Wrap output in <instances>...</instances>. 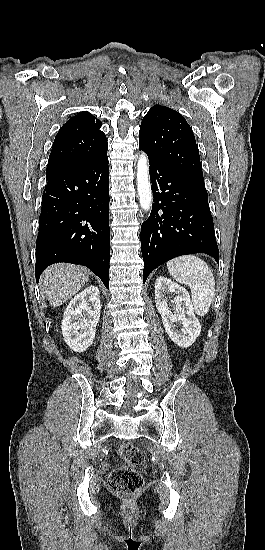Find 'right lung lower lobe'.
I'll use <instances>...</instances> for the list:
<instances>
[{
  "instance_id": "obj_1",
  "label": "right lung lower lobe",
  "mask_w": 265,
  "mask_h": 550,
  "mask_svg": "<svg viewBox=\"0 0 265 550\" xmlns=\"http://www.w3.org/2000/svg\"><path fill=\"white\" fill-rule=\"evenodd\" d=\"M36 241L35 275L51 264L88 267L109 289L110 227L107 153L46 174Z\"/></svg>"
}]
</instances>
